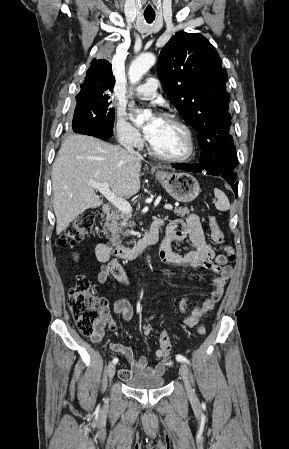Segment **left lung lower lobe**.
Wrapping results in <instances>:
<instances>
[{"label": "left lung lower lobe", "instance_id": "obj_1", "mask_svg": "<svg viewBox=\"0 0 289 449\" xmlns=\"http://www.w3.org/2000/svg\"><path fill=\"white\" fill-rule=\"evenodd\" d=\"M172 167H174L178 170L195 172V173H199L202 170H206L209 175L221 176L232 186V189L235 192L236 197L238 195L237 176H236L235 171H229L226 173H218L212 168V166L210 164H208L207 162H201V161H199V164H192V165L191 164H178V165H173Z\"/></svg>", "mask_w": 289, "mask_h": 449}]
</instances>
